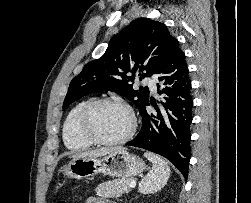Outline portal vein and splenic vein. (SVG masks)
<instances>
[{
    "label": "portal vein and splenic vein",
    "mask_w": 251,
    "mask_h": 203,
    "mask_svg": "<svg viewBox=\"0 0 251 203\" xmlns=\"http://www.w3.org/2000/svg\"><path fill=\"white\" fill-rule=\"evenodd\" d=\"M136 186V181H132L129 185L130 188H134Z\"/></svg>",
    "instance_id": "obj_1"
}]
</instances>
